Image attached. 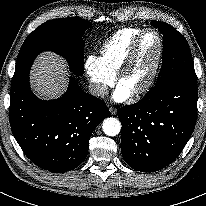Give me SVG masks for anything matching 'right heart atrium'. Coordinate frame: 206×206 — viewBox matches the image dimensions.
Instances as JSON below:
<instances>
[{
  "mask_svg": "<svg viewBox=\"0 0 206 206\" xmlns=\"http://www.w3.org/2000/svg\"><path fill=\"white\" fill-rule=\"evenodd\" d=\"M85 71L90 81L92 93L102 98L114 84V76L107 73L95 57H88L85 62Z\"/></svg>",
  "mask_w": 206,
  "mask_h": 206,
  "instance_id": "obj_1",
  "label": "right heart atrium"
}]
</instances>
